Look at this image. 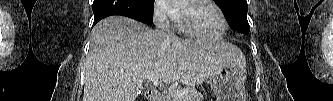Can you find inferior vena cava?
I'll use <instances>...</instances> for the list:
<instances>
[{
  "mask_svg": "<svg viewBox=\"0 0 333 101\" xmlns=\"http://www.w3.org/2000/svg\"><path fill=\"white\" fill-rule=\"evenodd\" d=\"M160 28L164 31H166V33L171 36L174 37V34L171 33L170 29H169V23L168 22H164L162 24H160Z\"/></svg>",
  "mask_w": 333,
  "mask_h": 101,
  "instance_id": "inferior-vena-cava-1",
  "label": "inferior vena cava"
}]
</instances>
